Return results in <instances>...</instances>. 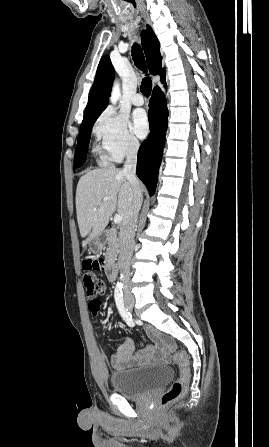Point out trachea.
<instances>
[{"label": "trachea", "instance_id": "1", "mask_svg": "<svg viewBox=\"0 0 269 447\" xmlns=\"http://www.w3.org/2000/svg\"><path fill=\"white\" fill-rule=\"evenodd\" d=\"M132 57L135 65L140 69L146 72V62L144 59L143 52L139 45L134 44L132 47ZM141 92L143 95L149 96L152 90V82L149 77H145L141 83Z\"/></svg>", "mask_w": 269, "mask_h": 447}]
</instances>
